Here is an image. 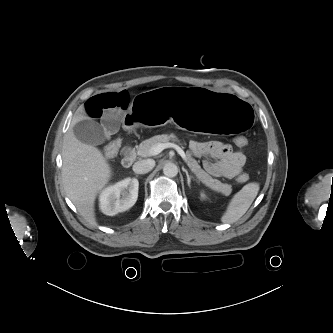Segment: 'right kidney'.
<instances>
[{
  "instance_id": "obj_1",
  "label": "right kidney",
  "mask_w": 333,
  "mask_h": 333,
  "mask_svg": "<svg viewBox=\"0 0 333 333\" xmlns=\"http://www.w3.org/2000/svg\"><path fill=\"white\" fill-rule=\"evenodd\" d=\"M139 182L135 178H126L106 187L100 194V209L109 216L131 208L138 198Z\"/></svg>"
}]
</instances>
